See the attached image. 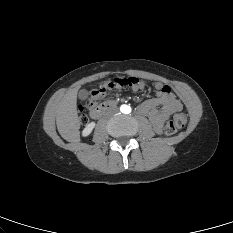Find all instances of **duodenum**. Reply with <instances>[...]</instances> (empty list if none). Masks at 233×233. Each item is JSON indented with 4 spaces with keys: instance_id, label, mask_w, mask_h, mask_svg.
<instances>
[{
    "instance_id": "410a0bca",
    "label": "duodenum",
    "mask_w": 233,
    "mask_h": 233,
    "mask_svg": "<svg viewBox=\"0 0 233 233\" xmlns=\"http://www.w3.org/2000/svg\"><path fill=\"white\" fill-rule=\"evenodd\" d=\"M115 106L113 101L105 102L95 108H93L90 112V115L93 119L97 120L101 118L107 111L112 109Z\"/></svg>"
}]
</instances>
